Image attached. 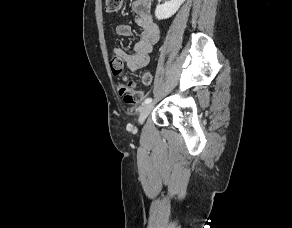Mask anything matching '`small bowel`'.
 <instances>
[{
    "label": "small bowel",
    "instance_id": "small-bowel-1",
    "mask_svg": "<svg viewBox=\"0 0 292 228\" xmlns=\"http://www.w3.org/2000/svg\"><path fill=\"white\" fill-rule=\"evenodd\" d=\"M152 0H134L132 9L136 16V23L141 28L139 40L134 44L131 52L123 48L116 47L112 51V57L119 59L127 66L129 71L137 72L145 67L149 60L156 43L159 40V27L151 14ZM119 36H133V28L127 24H120L116 27Z\"/></svg>",
    "mask_w": 292,
    "mask_h": 228
}]
</instances>
